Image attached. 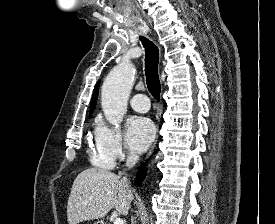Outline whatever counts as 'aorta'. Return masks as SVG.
<instances>
[{"label": "aorta", "instance_id": "762f6f07", "mask_svg": "<svg viewBox=\"0 0 275 224\" xmlns=\"http://www.w3.org/2000/svg\"><path fill=\"white\" fill-rule=\"evenodd\" d=\"M135 67L129 62H122L114 67L107 75L101 92V105L106 119L120 128L126 111L134 78Z\"/></svg>", "mask_w": 275, "mask_h": 224}]
</instances>
